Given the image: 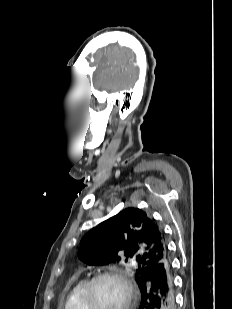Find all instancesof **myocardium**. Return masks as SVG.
<instances>
[{
  "instance_id": "myocardium-1",
  "label": "myocardium",
  "mask_w": 232,
  "mask_h": 309,
  "mask_svg": "<svg viewBox=\"0 0 232 309\" xmlns=\"http://www.w3.org/2000/svg\"><path fill=\"white\" fill-rule=\"evenodd\" d=\"M105 278L115 279L123 285L124 302L120 309H130L135 297V290L127 275L118 269H108L101 271L88 280L83 294V301L86 309H96L94 304V289L96 284Z\"/></svg>"
}]
</instances>
